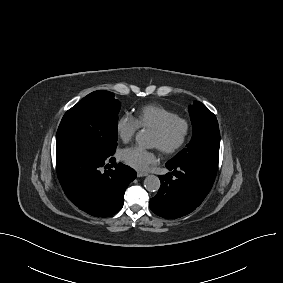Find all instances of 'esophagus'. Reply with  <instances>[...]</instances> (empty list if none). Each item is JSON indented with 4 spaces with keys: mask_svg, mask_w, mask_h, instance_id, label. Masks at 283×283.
<instances>
[{
    "mask_svg": "<svg viewBox=\"0 0 283 283\" xmlns=\"http://www.w3.org/2000/svg\"><path fill=\"white\" fill-rule=\"evenodd\" d=\"M137 176L138 177H145V176H148V173H145V172H137Z\"/></svg>",
    "mask_w": 283,
    "mask_h": 283,
    "instance_id": "esophagus-1",
    "label": "esophagus"
}]
</instances>
